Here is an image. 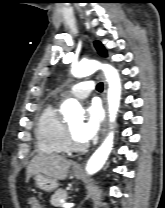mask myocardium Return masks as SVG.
Masks as SVG:
<instances>
[{"label": "myocardium", "instance_id": "obj_1", "mask_svg": "<svg viewBox=\"0 0 165 208\" xmlns=\"http://www.w3.org/2000/svg\"><path fill=\"white\" fill-rule=\"evenodd\" d=\"M65 145L69 151H82L86 148L85 144L76 141L67 124H65Z\"/></svg>", "mask_w": 165, "mask_h": 208}]
</instances>
